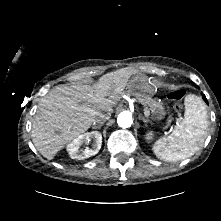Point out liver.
<instances>
[{
	"instance_id": "1",
	"label": "liver",
	"mask_w": 221,
	"mask_h": 221,
	"mask_svg": "<svg viewBox=\"0 0 221 221\" xmlns=\"http://www.w3.org/2000/svg\"><path fill=\"white\" fill-rule=\"evenodd\" d=\"M125 69L103 75L90 85L56 86L41 98L32 123V142L48 160L87 131L98 113H111L114 98L126 87Z\"/></svg>"
}]
</instances>
